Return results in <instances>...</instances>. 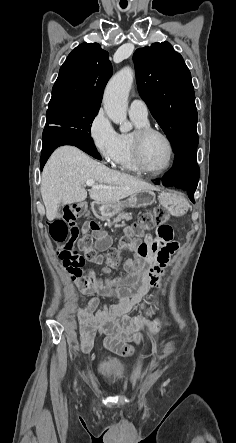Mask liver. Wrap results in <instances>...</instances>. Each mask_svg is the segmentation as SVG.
<instances>
[{
  "mask_svg": "<svg viewBox=\"0 0 236 443\" xmlns=\"http://www.w3.org/2000/svg\"><path fill=\"white\" fill-rule=\"evenodd\" d=\"M87 180L107 187L89 191L90 198L102 204H113L154 188L145 181L106 167L76 147L63 146L54 151L42 172L40 190L49 221L58 216L60 204H73L87 198L84 188Z\"/></svg>",
  "mask_w": 236,
  "mask_h": 443,
  "instance_id": "6515ba94",
  "label": "liver"
}]
</instances>
